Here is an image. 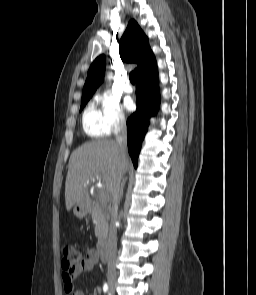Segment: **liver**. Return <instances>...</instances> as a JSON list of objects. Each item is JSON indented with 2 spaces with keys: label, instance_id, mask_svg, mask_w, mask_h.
<instances>
[{
  "label": "liver",
  "instance_id": "6515ba94",
  "mask_svg": "<svg viewBox=\"0 0 256 295\" xmlns=\"http://www.w3.org/2000/svg\"><path fill=\"white\" fill-rule=\"evenodd\" d=\"M130 166L127 156L125 162L121 161L115 141L98 140L81 145L72 152L69 159L65 183L67 211L78 203H84L88 186L94 180H102L110 194L119 172L125 173Z\"/></svg>",
  "mask_w": 256,
  "mask_h": 295
}]
</instances>
